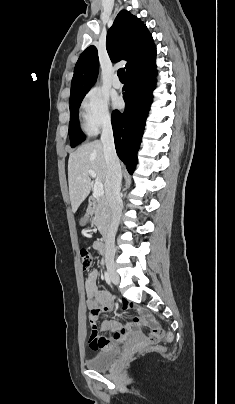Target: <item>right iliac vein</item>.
I'll use <instances>...</instances> for the list:
<instances>
[{
	"mask_svg": "<svg viewBox=\"0 0 235 404\" xmlns=\"http://www.w3.org/2000/svg\"><path fill=\"white\" fill-rule=\"evenodd\" d=\"M106 266H107V270H108V273H109V276H110L112 282H113L115 285H117V284L119 283L120 278H119V275H118L117 272H116V268H115L114 262L111 261V260H107V261H106Z\"/></svg>",
	"mask_w": 235,
	"mask_h": 404,
	"instance_id": "63e3f726",
	"label": "right iliac vein"
}]
</instances>
